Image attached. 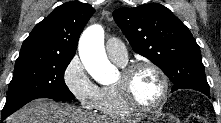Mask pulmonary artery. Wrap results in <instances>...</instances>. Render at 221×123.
Segmentation results:
<instances>
[{
  "instance_id": "pulmonary-artery-1",
  "label": "pulmonary artery",
  "mask_w": 221,
  "mask_h": 123,
  "mask_svg": "<svg viewBox=\"0 0 221 123\" xmlns=\"http://www.w3.org/2000/svg\"><path fill=\"white\" fill-rule=\"evenodd\" d=\"M108 57L114 62L125 65L127 62V50L122 41L117 38H110L106 42Z\"/></svg>"
}]
</instances>
